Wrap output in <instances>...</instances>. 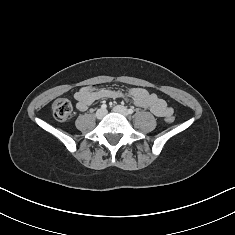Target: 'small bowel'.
I'll return each instance as SVG.
<instances>
[{
	"label": "small bowel",
	"instance_id": "obj_1",
	"mask_svg": "<svg viewBox=\"0 0 235 235\" xmlns=\"http://www.w3.org/2000/svg\"><path fill=\"white\" fill-rule=\"evenodd\" d=\"M126 97L135 105L149 109L157 117H167L173 114L172 107L165 100L147 90L135 87L125 95L121 91L113 89H95L93 87H82L75 94L76 107L79 111H86L95 102L104 98Z\"/></svg>",
	"mask_w": 235,
	"mask_h": 235
}]
</instances>
